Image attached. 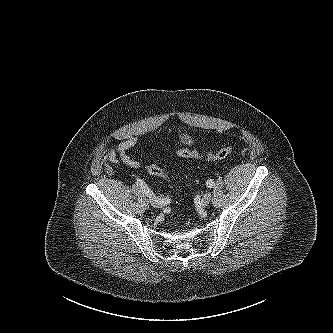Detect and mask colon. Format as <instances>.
Here are the masks:
<instances>
[{
    "label": "colon",
    "instance_id": "colon-1",
    "mask_svg": "<svg viewBox=\"0 0 333 333\" xmlns=\"http://www.w3.org/2000/svg\"><path fill=\"white\" fill-rule=\"evenodd\" d=\"M233 148L231 146L223 147L215 152H210L207 154L200 153L196 150L192 149H180L177 152V155L182 157V158H197V159H205V160H221L224 159L228 156H230L233 153ZM147 170L149 174L155 177H160V178H168V174L166 171L157 166V165H149L147 167Z\"/></svg>",
    "mask_w": 333,
    "mask_h": 333
}]
</instances>
